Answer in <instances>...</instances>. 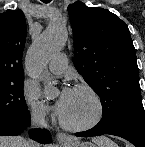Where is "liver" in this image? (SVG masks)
<instances>
[{
  "instance_id": "liver-1",
  "label": "liver",
  "mask_w": 145,
  "mask_h": 147,
  "mask_svg": "<svg viewBox=\"0 0 145 147\" xmlns=\"http://www.w3.org/2000/svg\"><path fill=\"white\" fill-rule=\"evenodd\" d=\"M103 138L95 139L96 143L99 145ZM0 147H29L28 142L20 137H4L0 136Z\"/></svg>"
}]
</instances>
